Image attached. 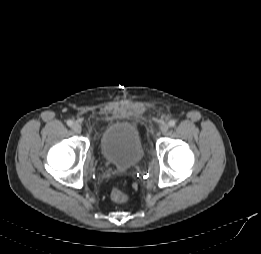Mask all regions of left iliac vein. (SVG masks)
Instances as JSON below:
<instances>
[{
	"mask_svg": "<svg viewBox=\"0 0 261 254\" xmlns=\"http://www.w3.org/2000/svg\"><path fill=\"white\" fill-rule=\"evenodd\" d=\"M169 129V126L168 124H163L161 127H160V132L161 133H166Z\"/></svg>",
	"mask_w": 261,
	"mask_h": 254,
	"instance_id": "left-iliac-vein-1",
	"label": "left iliac vein"
}]
</instances>
